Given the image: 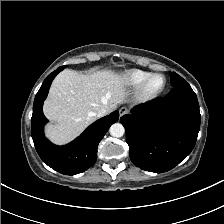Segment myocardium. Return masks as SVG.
I'll use <instances>...</instances> for the list:
<instances>
[{"mask_svg":"<svg viewBox=\"0 0 224 224\" xmlns=\"http://www.w3.org/2000/svg\"><path fill=\"white\" fill-rule=\"evenodd\" d=\"M157 75H161L163 76L164 78V85L163 87L156 91V92H149L147 90V85H148V82L150 81L151 78H153L154 76H157ZM166 85H167V78L166 76L163 74V73H150L136 88V98L139 100V101H143V102H146V101H150V100H153L155 98H157L160 94L163 93V91L165 90L166 88Z\"/></svg>","mask_w":224,"mask_h":224,"instance_id":"1","label":"myocardium"}]
</instances>
